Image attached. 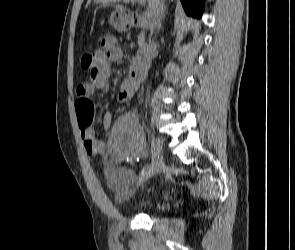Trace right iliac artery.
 I'll return each instance as SVG.
<instances>
[{
	"mask_svg": "<svg viewBox=\"0 0 295 250\" xmlns=\"http://www.w3.org/2000/svg\"><path fill=\"white\" fill-rule=\"evenodd\" d=\"M154 163H155V160L152 157L151 163L142 170V175L150 172V170L152 169Z\"/></svg>",
	"mask_w": 295,
	"mask_h": 250,
	"instance_id": "82829eb1",
	"label": "right iliac artery"
}]
</instances>
